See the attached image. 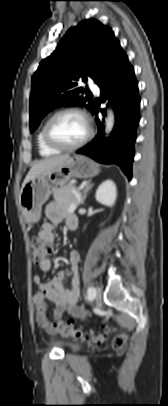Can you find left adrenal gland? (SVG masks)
<instances>
[{
  "label": "left adrenal gland",
  "mask_w": 168,
  "mask_h": 406,
  "mask_svg": "<svg viewBox=\"0 0 168 406\" xmlns=\"http://www.w3.org/2000/svg\"><path fill=\"white\" fill-rule=\"evenodd\" d=\"M92 187H93V183H91V180H89L87 182V184L85 185L84 190H83V195H82V198H81V205L84 204V202L86 200V197H87V193Z\"/></svg>",
  "instance_id": "left-adrenal-gland-1"
}]
</instances>
